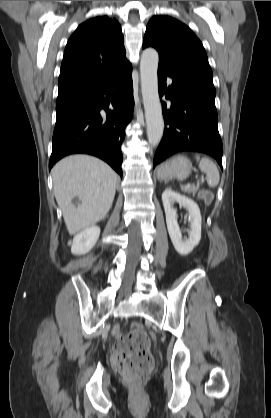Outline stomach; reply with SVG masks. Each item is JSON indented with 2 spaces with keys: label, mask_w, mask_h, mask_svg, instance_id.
I'll list each match as a JSON object with an SVG mask.
<instances>
[{
  "label": "stomach",
  "mask_w": 271,
  "mask_h": 418,
  "mask_svg": "<svg viewBox=\"0 0 271 418\" xmlns=\"http://www.w3.org/2000/svg\"><path fill=\"white\" fill-rule=\"evenodd\" d=\"M192 170L191 161L185 156H176L160 165L157 170L158 179L169 181L173 178L183 180L187 178Z\"/></svg>",
  "instance_id": "stomach-1"
}]
</instances>
